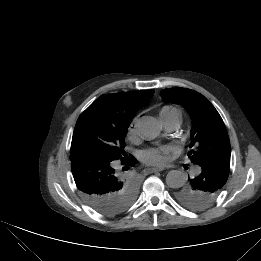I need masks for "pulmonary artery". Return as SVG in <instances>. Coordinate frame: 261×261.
Segmentation results:
<instances>
[{"label":"pulmonary artery","mask_w":261,"mask_h":261,"mask_svg":"<svg viewBox=\"0 0 261 261\" xmlns=\"http://www.w3.org/2000/svg\"><path fill=\"white\" fill-rule=\"evenodd\" d=\"M161 120L165 127L170 130L174 131L177 130L182 122V118L179 112H173L169 115L162 116ZM200 169L198 167L195 168V172L197 173Z\"/></svg>","instance_id":"1"}]
</instances>
